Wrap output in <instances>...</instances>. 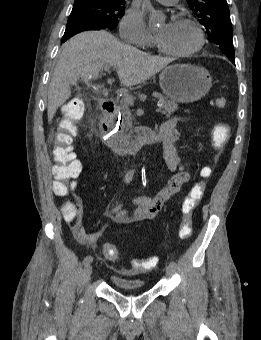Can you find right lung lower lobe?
Listing matches in <instances>:
<instances>
[{"label":"right lung lower lobe","mask_w":261,"mask_h":340,"mask_svg":"<svg viewBox=\"0 0 261 340\" xmlns=\"http://www.w3.org/2000/svg\"><path fill=\"white\" fill-rule=\"evenodd\" d=\"M101 29H104V28H102L98 24L93 23V22L88 21V20L78 19V20L69 21L67 23L66 30H65V33L62 37L61 42H65L66 40H68L73 35H75L79 32H82V31L101 30Z\"/></svg>","instance_id":"right-lung-lower-lobe-1"}]
</instances>
